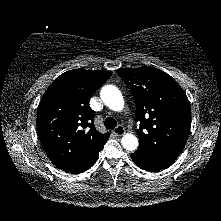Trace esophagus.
<instances>
[{
	"label": "esophagus",
	"instance_id": "obj_1",
	"mask_svg": "<svg viewBox=\"0 0 221 221\" xmlns=\"http://www.w3.org/2000/svg\"><path fill=\"white\" fill-rule=\"evenodd\" d=\"M113 133L117 136H121L125 133V128L122 125H118L114 130Z\"/></svg>",
	"mask_w": 221,
	"mask_h": 221
}]
</instances>
